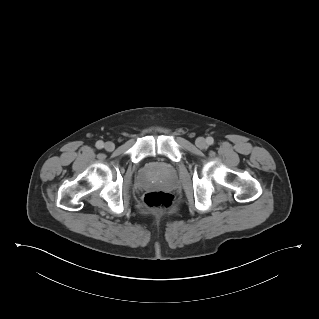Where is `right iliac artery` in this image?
Wrapping results in <instances>:
<instances>
[{"mask_svg":"<svg viewBox=\"0 0 319 319\" xmlns=\"http://www.w3.org/2000/svg\"><path fill=\"white\" fill-rule=\"evenodd\" d=\"M96 147H97L98 149L103 148V147H104V143H103V141H97V143H96Z\"/></svg>","mask_w":319,"mask_h":319,"instance_id":"right-iliac-artery-1","label":"right iliac artery"}]
</instances>
